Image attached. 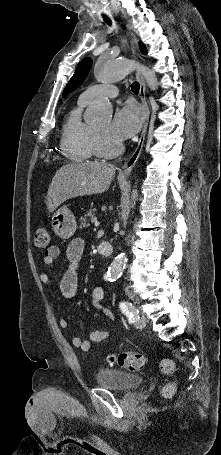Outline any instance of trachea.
<instances>
[{
	"label": "trachea",
	"instance_id": "3493384b",
	"mask_svg": "<svg viewBox=\"0 0 221 455\" xmlns=\"http://www.w3.org/2000/svg\"><path fill=\"white\" fill-rule=\"evenodd\" d=\"M104 21L108 24V25H111V20L110 19H104ZM139 89H140V86H139V83L138 82H134L132 85H131V90L134 94H138L139 93Z\"/></svg>",
	"mask_w": 221,
	"mask_h": 455
}]
</instances>
